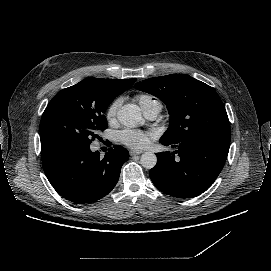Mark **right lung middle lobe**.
<instances>
[{"instance_id": "dd1d6c3e", "label": "right lung middle lobe", "mask_w": 271, "mask_h": 271, "mask_svg": "<svg viewBox=\"0 0 271 271\" xmlns=\"http://www.w3.org/2000/svg\"><path fill=\"white\" fill-rule=\"evenodd\" d=\"M110 103L94 104L80 91L63 89L49 102L40 122L41 145L73 141L90 145L107 128L103 115Z\"/></svg>"}]
</instances>
